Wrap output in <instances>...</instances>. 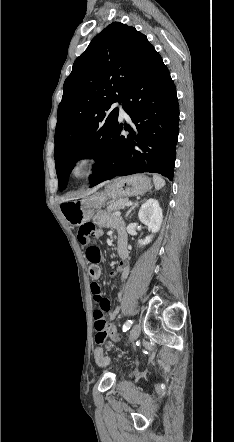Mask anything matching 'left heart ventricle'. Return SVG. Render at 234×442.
Listing matches in <instances>:
<instances>
[{
    "mask_svg": "<svg viewBox=\"0 0 234 442\" xmlns=\"http://www.w3.org/2000/svg\"><path fill=\"white\" fill-rule=\"evenodd\" d=\"M83 171H84L83 167H82V166H78V167L76 168L75 173L78 174V175H80V174L83 173Z\"/></svg>",
    "mask_w": 234,
    "mask_h": 442,
    "instance_id": "1",
    "label": "left heart ventricle"
}]
</instances>
